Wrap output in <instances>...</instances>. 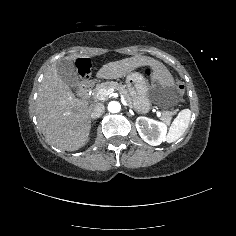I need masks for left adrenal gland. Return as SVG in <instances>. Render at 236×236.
Wrapping results in <instances>:
<instances>
[{"label":"left adrenal gland","instance_id":"1","mask_svg":"<svg viewBox=\"0 0 236 236\" xmlns=\"http://www.w3.org/2000/svg\"><path fill=\"white\" fill-rule=\"evenodd\" d=\"M128 115H130L129 111L126 112Z\"/></svg>","mask_w":236,"mask_h":236}]
</instances>
